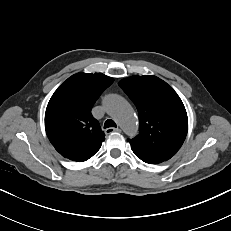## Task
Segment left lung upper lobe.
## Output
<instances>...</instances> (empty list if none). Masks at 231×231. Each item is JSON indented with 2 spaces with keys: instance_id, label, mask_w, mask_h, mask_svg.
<instances>
[{
  "instance_id": "1",
  "label": "left lung upper lobe",
  "mask_w": 231,
  "mask_h": 231,
  "mask_svg": "<svg viewBox=\"0 0 231 231\" xmlns=\"http://www.w3.org/2000/svg\"><path fill=\"white\" fill-rule=\"evenodd\" d=\"M139 113V134L128 139L133 152L170 159L188 130L186 109L177 93L156 76H131L119 82Z\"/></svg>"
}]
</instances>
